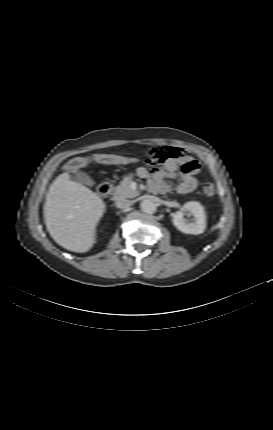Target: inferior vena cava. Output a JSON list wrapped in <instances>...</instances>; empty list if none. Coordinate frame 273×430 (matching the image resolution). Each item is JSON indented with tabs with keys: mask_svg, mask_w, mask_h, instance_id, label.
Here are the masks:
<instances>
[{
	"mask_svg": "<svg viewBox=\"0 0 273 430\" xmlns=\"http://www.w3.org/2000/svg\"><path fill=\"white\" fill-rule=\"evenodd\" d=\"M131 205H132V201L127 199H121L115 203V206L117 208H122V209L129 208Z\"/></svg>",
	"mask_w": 273,
	"mask_h": 430,
	"instance_id": "1",
	"label": "inferior vena cava"
}]
</instances>
